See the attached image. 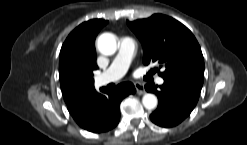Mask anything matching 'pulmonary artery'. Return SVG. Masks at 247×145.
I'll return each instance as SVG.
<instances>
[{"mask_svg": "<svg viewBox=\"0 0 247 145\" xmlns=\"http://www.w3.org/2000/svg\"><path fill=\"white\" fill-rule=\"evenodd\" d=\"M135 50L136 42L130 37H122L120 40L118 54L114 58L109 68L96 77V84L98 86H102L122 78L127 72ZM157 83L163 84V78L158 77Z\"/></svg>", "mask_w": 247, "mask_h": 145, "instance_id": "pulmonary-artery-1", "label": "pulmonary artery"}]
</instances>
